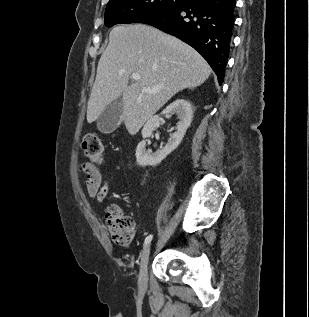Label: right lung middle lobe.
Returning <instances> with one entry per match:
<instances>
[{
	"label": "right lung middle lobe",
	"instance_id": "right-lung-middle-lobe-1",
	"mask_svg": "<svg viewBox=\"0 0 309 317\" xmlns=\"http://www.w3.org/2000/svg\"><path fill=\"white\" fill-rule=\"evenodd\" d=\"M186 0H110L105 11V25L133 23L140 17L177 7Z\"/></svg>",
	"mask_w": 309,
	"mask_h": 317
}]
</instances>
